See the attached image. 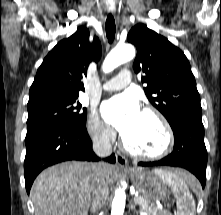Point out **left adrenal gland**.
<instances>
[{"label": "left adrenal gland", "mask_w": 221, "mask_h": 215, "mask_svg": "<svg viewBox=\"0 0 221 215\" xmlns=\"http://www.w3.org/2000/svg\"><path fill=\"white\" fill-rule=\"evenodd\" d=\"M130 209L133 210L134 212H137L134 203L130 204Z\"/></svg>", "instance_id": "obj_1"}]
</instances>
